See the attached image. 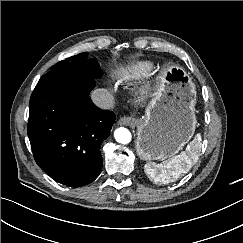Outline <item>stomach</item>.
I'll list each match as a JSON object with an SVG mask.
<instances>
[{
    "label": "stomach",
    "instance_id": "0dacf381",
    "mask_svg": "<svg viewBox=\"0 0 243 243\" xmlns=\"http://www.w3.org/2000/svg\"><path fill=\"white\" fill-rule=\"evenodd\" d=\"M195 104L196 88L185 70L174 65L162 68L145 115L136 122L138 156L148 161L177 154L194 135Z\"/></svg>",
    "mask_w": 243,
    "mask_h": 243
}]
</instances>
